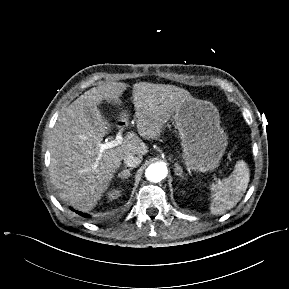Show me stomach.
<instances>
[{
    "label": "stomach",
    "mask_w": 289,
    "mask_h": 289,
    "mask_svg": "<svg viewBox=\"0 0 289 289\" xmlns=\"http://www.w3.org/2000/svg\"><path fill=\"white\" fill-rule=\"evenodd\" d=\"M188 169L213 171L227 147V135L220 126L217 108L208 101L186 100L174 116Z\"/></svg>",
    "instance_id": "1"
}]
</instances>
